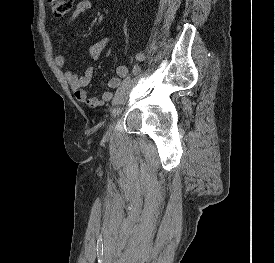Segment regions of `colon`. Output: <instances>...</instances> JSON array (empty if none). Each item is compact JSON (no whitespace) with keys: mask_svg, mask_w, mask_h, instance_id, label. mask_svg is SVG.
I'll list each match as a JSON object with an SVG mask.
<instances>
[{"mask_svg":"<svg viewBox=\"0 0 275 263\" xmlns=\"http://www.w3.org/2000/svg\"><path fill=\"white\" fill-rule=\"evenodd\" d=\"M73 2L74 0H48V5L53 16L62 17L71 11Z\"/></svg>","mask_w":275,"mask_h":263,"instance_id":"5ec220e1","label":"colon"}]
</instances>
